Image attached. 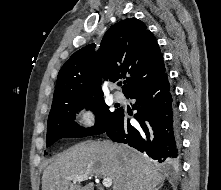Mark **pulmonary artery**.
Segmentation results:
<instances>
[{"label":"pulmonary artery","mask_w":221,"mask_h":190,"mask_svg":"<svg viewBox=\"0 0 221 190\" xmlns=\"http://www.w3.org/2000/svg\"><path fill=\"white\" fill-rule=\"evenodd\" d=\"M114 99L118 102H122L124 100V94L121 91H115Z\"/></svg>","instance_id":"pulmonary-artery-1"}]
</instances>
